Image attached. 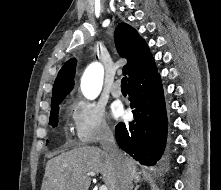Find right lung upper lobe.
<instances>
[{"mask_svg":"<svg viewBox=\"0 0 221 190\" xmlns=\"http://www.w3.org/2000/svg\"><path fill=\"white\" fill-rule=\"evenodd\" d=\"M115 42L119 54L128 60L123 73L129 76V85L152 78L157 68L147 44L135 29L120 23L115 30ZM76 59L68 60L59 71L52 90L51 104L64 99L74 86Z\"/></svg>","mask_w":221,"mask_h":190,"instance_id":"1","label":"right lung upper lobe"}]
</instances>
